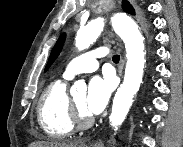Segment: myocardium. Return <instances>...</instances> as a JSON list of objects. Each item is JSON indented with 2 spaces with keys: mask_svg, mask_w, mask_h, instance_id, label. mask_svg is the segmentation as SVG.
I'll return each mask as SVG.
<instances>
[{
  "mask_svg": "<svg viewBox=\"0 0 183 147\" xmlns=\"http://www.w3.org/2000/svg\"><path fill=\"white\" fill-rule=\"evenodd\" d=\"M70 105H71V117L74 122V125L77 128L85 129L93 124L94 122L93 117L91 115L84 114L72 99H70Z\"/></svg>",
  "mask_w": 183,
  "mask_h": 147,
  "instance_id": "obj_1",
  "label": "myocardium"
}]
</instances>
